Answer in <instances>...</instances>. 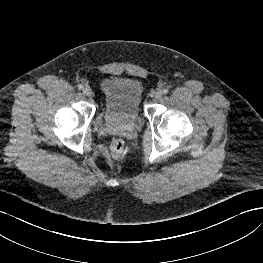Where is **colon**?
Returning <instances> with one entry per match:
<instances>
[{
	"label": "colon",
	"instance_id": "colon-1",
	"mask_svg": "<svg viewBox=\"0 0 263 263\" xmlns=\"http://www.w3.org/2000/svg\"><path fill=\"white\" fill-rule=\"evenodd\" d=\"M124 150V143L121 140H116L111 145V151L114 156H120Z\"/></svg>",
	"mask_w": 263,
	"mask_h": 263
}]
</instances>
